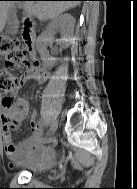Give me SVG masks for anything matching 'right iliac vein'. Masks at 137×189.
Wrapping results in <instances>:
<instances>
[{"instance_id": "1", "label": "right iliac vein", "mask_w": 137, "mask_h": 189, "mask_svg": "<svg viewBox=\"0 0 137 189\" xmlns=\"http://www.w3.org/2000/svg\"><path fill=\"white\" fill-rule=\"evenodd\" d=\"M56 129H57V122L55 121V122H53V123L51 124L50 130H49V136H51L52 134H54L55 131H56ZM49 140H50V138L45 139V142H47V141H49Z\"/></svg>"}]
</instances>
